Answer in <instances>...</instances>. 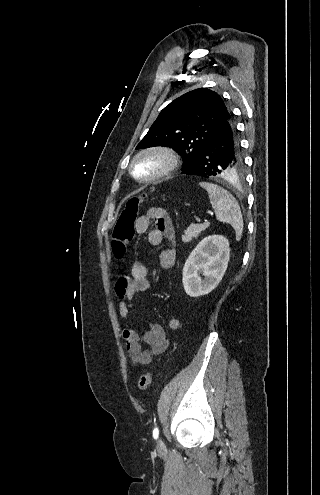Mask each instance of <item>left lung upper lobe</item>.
Returning <instances> with one entry per match:
<instances>
[{
    "label": "left lung upper lobe",
    "instance_id": "left-lung-upper-lobe-1",
    "mask_svg": "<svg viewBox=\"0 0 320 495\" xmlns=\"http://www.w3.org/2000/svg\"><path fill=\"white\" fill-rule=\"evenodd\" d=\"M230 116L223 99L216 92L195 89L167 105L136 148L173 147L182 157V170H185ZM242 166L241 158L236 172ZM231 172L233 170L228 168L219 177L228 178L232 176Z\"/></svg>",
    "mask_w": 320,
    "mask_h": 495
}]
</instances>
